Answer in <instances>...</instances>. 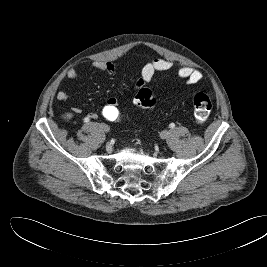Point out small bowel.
Here are the masks:
<instances>
[{
	"mask_svg": "<svg viewBox=\"0 0 267 267\" xmlns=\"http://www.w3.org/2000/svg\"><path fill=\"white\" fill-rule=\"evenodd\" d=\"M171 66L172 63L170 62V60L165 58H158L145 63L140 70V77L137 81V86L142 87L146 83H149L156 73L167 71L171 68ZM95 67L100 70L106 71L109 75H114L117 70V64L115 62H97L95 64ZM67 76L71 79H75L78 77V72L75 68H71L68 70ZM177 77L185 80L188 84H195L201 80L202 73L198 69L186 66L182 67L178 71ZM68 97V93L65 91H59L56 94V99L61 102L66 101ZM109 100L118 103L115 97H111L109 98ZM74 111L76 113H80L79 108H74ZM96 117L97 113L95 112H90L88 114V118L94 119Z\"/></svg>",
	"mask_w": 267,
	"mask_h": 267,
	"instance_id": "small-bowel-1",
	"label": "small bowel"
}]
</instances>
